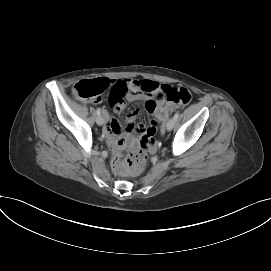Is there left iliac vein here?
<instances>
[{"mask_svg": "<svg viewBox=\"0 0 271 271\" xmlns=\"http://www.w3.org/2000/svg\"><path fill=\"white\" fill-rule=\"evenodd\" d=\"M175 125V120L173 118L169 119L166 123V129L168 131L172 130Z\"/></svg>", "mask_w": 271, "mask_h": 271, "instance_id": "4c4485c4", "label": "left iliac vein"}]
</instances>
